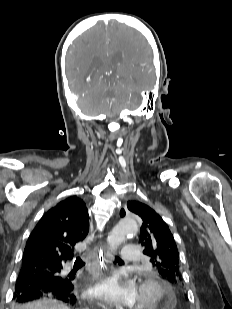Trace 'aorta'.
<instances>
[{
	"label": "aorta",
	"instance_id": "obj_1",
	"mask_svg": "<svg viewBox=\"0 0 232 309\" xmlns=\"http://www.w3.org/2000/svg\"><path fill=\"white\" fill-rule=\"evenodd\" d=\"M138 231V221L135 217H127L119 223L110 232L107 241L110 252H114L129 235Z\"/></svg>",
	"mask_w": 232,
	"mask_h": 309
}]
</instances>
